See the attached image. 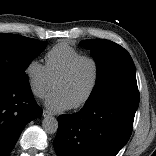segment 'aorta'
I'll return each instance as SVG.
<instances>
[{"label":"aorta","mask_w":156,"mask_h":156,"mask_svg":"<svg viewBox=\"0 0 156 156\" xmlns=\"http://www.w3.org/2000/svg\"><path fill=\"white\" fill-rule=\"evenodd\" d=\"M42 128L48 134H54L58 129V121L53 116H46L42 121Z\"/></svg>","instance_id":"obj_1"}]
</instances>
